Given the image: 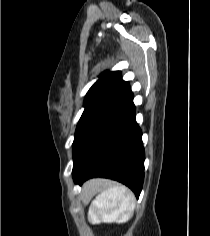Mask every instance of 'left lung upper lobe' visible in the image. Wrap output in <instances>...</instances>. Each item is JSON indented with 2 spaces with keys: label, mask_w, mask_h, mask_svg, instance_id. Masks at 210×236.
<instances>
[{
  "label": "left lung upper lobe",
  "mask_w": 210,
  "mask_h": 236,
  "mask_svg": "<svg viewBox=\"0 0 210 236\" xmlns=\"http://www.w3.org/2000/svg\"><path fill=\"white\" fill-rule=\"evenodd\" d=\"M129 87L119 71L104 72L93 84L84 100L85 110L78 122L75 138L100 113L109 107ZM74 138V140H75Z\"/></svg>",
  "instance_id": "obj_1"
}]
</instances>
